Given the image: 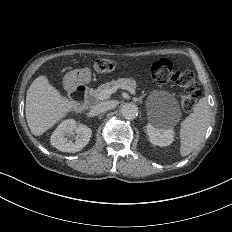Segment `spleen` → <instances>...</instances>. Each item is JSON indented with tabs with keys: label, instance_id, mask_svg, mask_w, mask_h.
Here are the masks:
<instances>
[{
	"label": "spleen",
	"instance_id": "1",
	"mask_svg": "<svg viewBox=\"0 0 232 232\" xmlns=\"http://www.w3.org/2000/svg\"><path fill=\"white\" fill-rule=\"evenodd\" d=\"M210 121V106L203 97L194 107L193 112L181 123L180 154L187 156L197 148L205 136Z\"/></svg>",
	"mask_w": 232,
	"mask_h": 232
}]
</instances>
